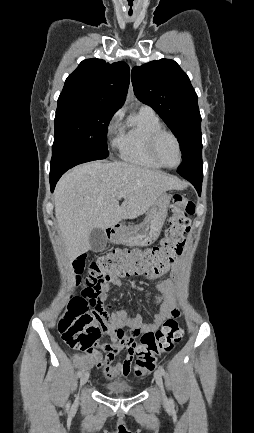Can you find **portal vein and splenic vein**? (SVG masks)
Wrapping results in <instances>:
<instances>
[{"label": "portal vein and splenic vein", "mask_w": 254, "mask_h": 433, "mask_svg": "<svg viewBox=\"0 0 254 433\" xmlns=\"http://www.w3.org/2000/svg\"><path fill=\"white\" fill-rule=\"evenodd\" d=\"M122 197H124V193L121 192V193L119 194V198H122Z\"/></svg>", "instance_id": "obj_1"}]
</instances>
